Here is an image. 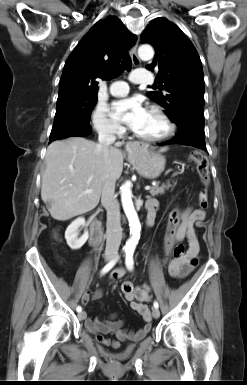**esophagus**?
<instances>
[{
	"label": "esophagus",
	"mask_w": 247,
	"mask_h": 385,
	"mask_svg": "<svg viewBox=\"0 0 247 385\" xmlns=\"http://www.w3.org/2000/svg\"><path fill=\"white\" fill-rule=\"evenodd\" d=\"M137 48H138V40L135 42V44L133 45V47L130 50V55H131L132 62L136 66L140 64V59H139V57L137 55ZM127 146L130 147V148L134 147V145H132V144H128Z\"/></svg>",
	"instance_id": "esophagus-1"
}]
</instances>
